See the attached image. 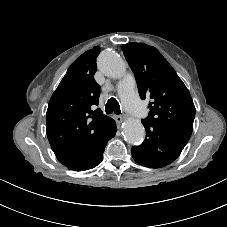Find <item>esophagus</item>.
Returning a JSON list of instances; mask_svg holds the SVG:
<instances>
[{
  "mask_svg": "<svg viewBox=\"0 0 227 227\" xmlns=\"http://www.w3.org/2000/svg\"><path fill=\"white\" fill-rule=\"evenodd\" d=\"M114 118H115V121H116L118 124L122 123L123 120H124V117H123V116H120V115L115 116Z\"/></svg>",
  "mask_w": 227,
  "mask_h": 227,
  "instance_id": "34e87169",
  "label": "esophagus"
}]
</instances>
